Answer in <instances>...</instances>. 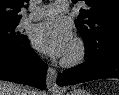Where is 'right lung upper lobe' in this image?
I'll return each mask as SVG.
<instances>
[{"label": "right lung upper lobe", "instance_id": "cb5924a9", "mask_svg": "<svg viewBox=\"0 0 119 95\" xmlns=\"http://www.w3.org/2000/svg\"><path fill=\"white\" fill-rule=\"evenodd\" d=\"M29 0H0V25L19 23L20 12Z\"/></svg>", "mask_w": 119, "mask_h": 95}]
</instances>
